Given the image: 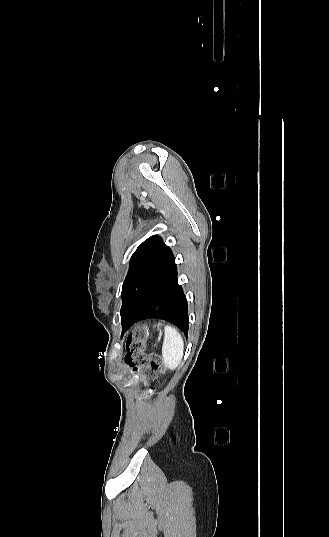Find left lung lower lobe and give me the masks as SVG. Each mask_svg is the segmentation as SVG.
I'll list each match as a JSON object with an SVG mask.
<instances>
[{
    "label": "left lung lower lobe",
    "instance_id": "0a47b994",
    "mask_svg": "<svg viewBox=\"0 0 329 537\" xmlns=\"http://www.w3.org/2000/svg\"><path fill=\"white\" fill-rule=\"evenodd\" d=\"M152 318L173 323L188 335V304L178 284L175 259L151 281L137 304L121 320L122 334L132 324Z\"/></svg>",
    "mask_w": 329,
    "mask_h": 537
}]
</instances>
